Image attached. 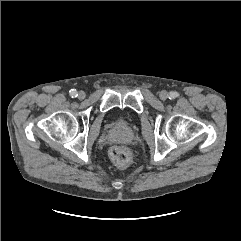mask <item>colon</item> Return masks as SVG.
<instances>
[{"mask_svg":"<svg viewBox=\"0 0 241 241\" xmlns=\"http://www.w3.org/2000/svg\"><path fill=\"white\" fill-rule=\"evenodd\" d=\"M112 162L118 167H126L130 162V153L123 147L114 146L109 151Z\"/></svg>","mask_w":241,"mask_h":241,"instance_id":"obj_1","label":"colon"}]
</instances>
